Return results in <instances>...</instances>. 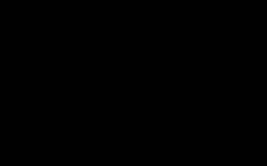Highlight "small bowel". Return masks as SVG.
Here are the masks:
<instances>
[{"instance_id":"small-bowel-1","label":"small bowel","mask_w":267,"mask_h":166,"mask_svg":"<svg viewBox=\"0 0 267 166\" xmlns=\"http://www.w3.org/2000/svg\"><path fill=\"white\" fill-rule=\"evenodd\" d=\"M118 39H119L120 43L125 44L126 39H127V34L125 32H119L118 33ZM152 39L156 42H163V41L165 42L166 41L168 44H170L174 47H176L175 45L177 44L176 38H164V37L159 36V35H153ZM78 50L81 53L89 54L92 57L98 56V52L92 50V48L87 44H81L78 47ZM195 55H196V50L193 47L188 46L184 52H177L176 51L174 56L169 57V60H173L174 58L179 59L182 63V71H183L184 78L188 79L189 67H190ZM140 68L146 72L152 71V66L148 61L141 62Z\"/></svg>"}]
</instances>
